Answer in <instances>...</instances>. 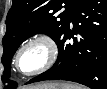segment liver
<instances>
[{"instance_id": "6515ba94", "label": "liver", "mask_w": 107, "mask_h": 89, "mask_svg": "<svg viewBox=\"0 0 107 89\" xmlns=\"http://www.w3.org/2000/svg\"><path fill=\"white\" fill-rule=\"evenodd\" d=\"M62 85L60 84H42V85H35V86H31L29 87V89L32 88H36V89H57L59 87H61Z\"/></svg>"}]
</instances>
